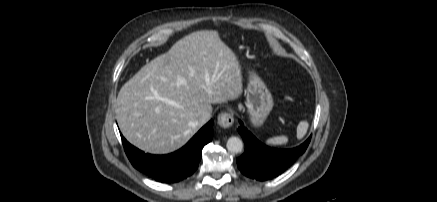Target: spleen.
Returning a JSON list of instances; mask_svg holds the SVG:
<instances>
[{
  "instance_id": "spleen-1",
  "label": "spleen",
  "mask_w": 437,
  "mask_h": 202,
  "mask_svg": "<svg viewBox=\"0 0 437 202\" xmlns=\"http://www.w3.org/2000/svg\"><path fill=\"white\" fill-rule=\"evenodd\" d=\"M308 122L307 121H301L297 126V138L301 139L305 136L307 130H308ZM288 142V138L286 136H276L268 139L266 143L268 145H283Z\"/></svg>"
}]
</instances>
